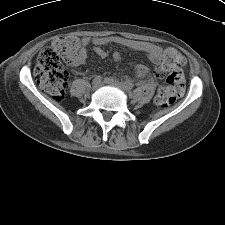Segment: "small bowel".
<instances>
[{
	"label": "small bowel",
	"mask_w": 225,
	"mask_h": 225,
	"mask_svg": "<svg viewBox=\"0 0 225 225\" xmlns=\"http://www.w3.org/2000/svg\"><path fill=\"white\" fill-rule=\"evenodd\" d=\"M90 42H93L96 47L94 49L96 55L100 58H106L107 57V52L101 47L107 43L110 42V39L108 38H94L90 39L88 37H84L81 40V47L79 49L78 55L76 57L75 62L72 64V66H80L84 65L87 59V46L90 44ZM140 51L145 53L150 62L152 64H158L161 59V49L159 46L151 43H145L139 48ZM113 59L118 62L121 59V54L118 51H115L113 53ZM147 68L146 66L142 64H138L136 66V73L139 77H144L147 74Z\"/></svg>",
	"instance_id": "1"
}]
</instances>
